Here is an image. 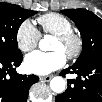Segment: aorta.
Segmentation results:
<instances>
[{
	"instance_id": "aorta-1",
	"label": "aorta",
	"mask_w": 102,
	"mask_h": 102,
	"mask_svg": "<svg viewBox=\"0 0 102 102\" xmlns=\"http://www.w3.org/2000/svg\"><path fill=\"white\" fill-rule=\"evenodd\" d=\"M51 36H44L43 39L39 42V48L42 51H48L50 50V42H51ZM66 82L64 78L60 76H56L51 79L50 81V88L55 93H62L65 90Z\"/></svg>"
}]
</instances>
